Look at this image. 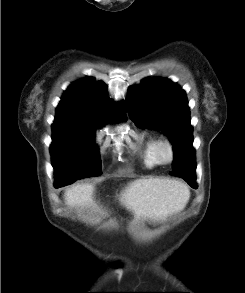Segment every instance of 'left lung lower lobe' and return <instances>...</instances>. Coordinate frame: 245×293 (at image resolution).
<instances>
[{"instance_id": "0a47b994", "label": "left lung lower lobe", "mask_w": 245, "mask_h": 293, "mask_svg": "<svg viewBox=\"0 0 245 293\" xmlns=\"http://www.w3.org/2000/svg\"><path fill=\"white\" fill-rule=\"evenodd\" d=\"M181 178H183L192 188H197V185H196V176H192V175H187V174H183L182 176H179Z\"/></svg>"}]
</instances>
